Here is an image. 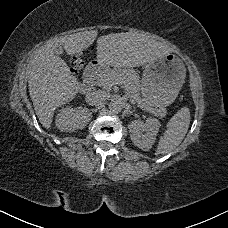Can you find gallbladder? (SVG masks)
<instances>
[{"instance_id":"gallbladder-1","label":"gallbladder","mask_w":228,"mask_h":228,"mask_svg":"<svg viewBox=\"0 0 228 228\" xmlns=\"http://www.w3.org/2000/svg\"><path fill=\"white\" fill-rule=\"evenodd\" d=\"M63 52H64L63 47L60 46V45H58V46L56 47V49H55V54H56V55H59V56H62V55H63Z\"/></svg>"}]
</instances>
